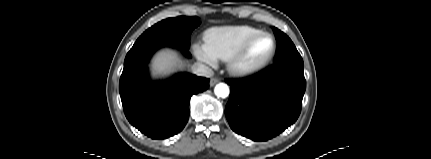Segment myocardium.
Instances as JSON below:
<instances>
[{"mask_svg": "<svg viewBox=\"0 0 431 159\" xmlns=\"http://www.w3.org/2000/svg\"><path fill=\"white\" fill-rule=\"evenodd\" d=\"M266 36L271 40L269 52L261 59L255 62H245L244 58L252 43L259 37ZM276 51V40L274 36L266 31H258L246 38L240 46L227 59L228 70L237 76H243L253 73L269 63Z\"/></svg>", "mask_w": 431, "mask_h": 159, "instance_id": "1", "label": "myocardium"}]
</instances>
